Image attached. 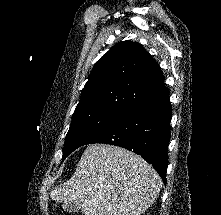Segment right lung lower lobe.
I'll use <instances>...</instances> for the list:
<instances>
[{
    "instance_id": "obj_1",
    "label": "right lung lower lobe",
    "mask_w": 221,
    "mask_h": 215,
    "mask_svg": "<svg viewBox=\"0 0 221 215\" xmlns=\"http://www.w3.org/2000/svg\"><path fill=\"white\" fill-rule=\"evenodd\" d=\"M171 103L167 87L120 116L87 144L105 143L135 152L150 163L166 182Z\"/></svg>"
}]
</instances>
